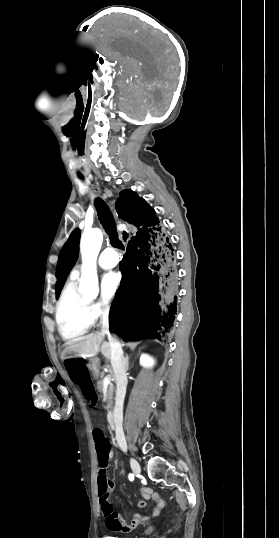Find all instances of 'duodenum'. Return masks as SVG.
<instances>
[{
  "label": "duodenum",
  "mask_w": 279,
  "mask_h": 538,
  "mask_svg": "<svg viewBox=\"0 0 279 538\" xmlns=\"http://www.w3.org/2000/svg\"><path fill=\"white\" fill-rule=\"evenodd\" d=\"M92 369H93V373H98L99 366L97 364H94L92 366ZM115 417H118V414H115L114 412L106 413V418H108L107 422L109 423V427L111 429H114L116 427V424L114 423Z\"/></svg>",
  "instance_id": "1"
}]
</instances>
